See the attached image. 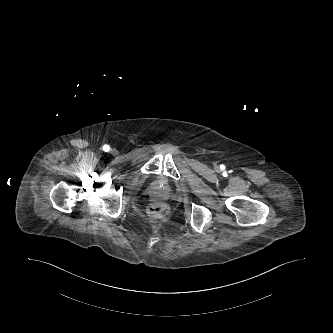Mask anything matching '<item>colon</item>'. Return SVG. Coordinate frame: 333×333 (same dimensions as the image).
Here are the masks:
<instances>
[{
  "label": "colon",
  "mask_w": 333,
  "mask_h": 333,
  "mask_svg": "<svg viewBox=\"0 0 333 333\" xmlns=\"http://www.w3.org/2000/svg\"><path fill=\"white\" fill-rule=\"evenodd\" d=\"M167 207L162 203H157L150 208V213L154 217H161L166 213Z\"/></svg>",
  "instance_id": "1"
}]
</instances>
